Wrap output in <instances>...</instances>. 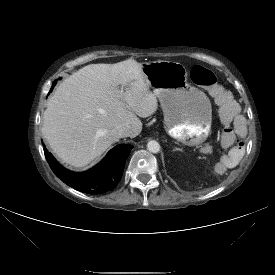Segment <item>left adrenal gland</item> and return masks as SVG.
Segmentation results:
<instances>
[{"instance_id":"left-adrenal-gland-1","label":"left adrenal gland","mask_w":275,"mask_h":275,"mask_svg":"<svg viewBox=\"0 0 275 275\" xmlns=\"http://www.w3.org/2000/svg\"><path fill=\"white\" fill-rule=\"evenodd\" d=\"M174 150H180L179 148H174Z\"/></svg>"}]
</instances>
